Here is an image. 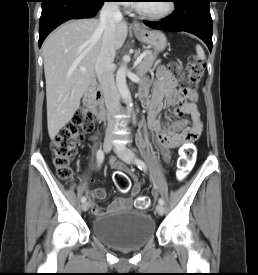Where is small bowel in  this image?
Instances as JSON below:
<instances>
[{"instance_id": "c3829d8e", "label": "small bowel", "mask_w": 258, "mask_h": 275, "mask_svg": "<svg viewBox=\"0 0 258 275\" xmlns=\"http://www.w3.org/2000/svg\"><path fill=\"white\" fill-rule=\"evenodd\" d=\"M157 81L153 87L152 96H147L146 88L141 90L143 104L148 109L147 126L155 147L163 156L166 162L171 159V150L184 144H192L203 130V122L195 104L196 94L193 91H180L177 88V81L173 74L163 66L156 70ZM168 110L172 113V118L166 122L159 119V115ZM187 115L189 119L181 117ZM95 135L91 139H95ZM112 166L120 171L128 169L111 160ZM134 181L131 188V196L127 198H117L111 202L106 209H102L96 203L97 200L106 198V190L102 187L89 191L91 198L92 213L103 216L106 213H113L121 209H129L139 194L142 182L136 175L131 173Z\"/></svg>"}]
</instances>
